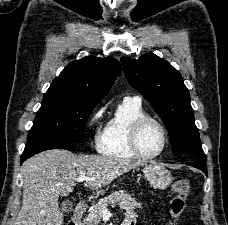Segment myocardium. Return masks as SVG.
I'll return each instance as SVG.
<instances>
[{
	"instance_id": "obj_1",
	"label": "myocardium",
	"mask_w": 228,
	"mask_h": 225,
	"mask_svg": "<svg viewBox=\"0 0 228 225\" xmlns=\"http://www.w3.org/2000/svg\"><path fill=\"white\" fill-rule=\"evenodd\" d=\"M148 123H154L156 124L162 131L163 134V144L162 148L159 152L155 154H146L140 145V136L143 128L148 124ZM130 143L133 151L141 158L143 159H155L160 156L165 152L167 145H168V131L164 123L152 116H144L136 120L132 126L131 129V134H130Z\"/></svg>"
}]
</instances>
